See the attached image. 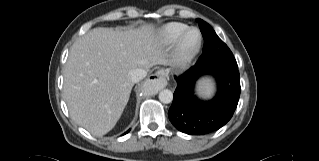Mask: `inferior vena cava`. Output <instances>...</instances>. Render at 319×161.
<instances>
[{"mask_svg": "<svg viewBox=\"0 0 319 161\" xmlns=\"http://www.w3.org/2000/svg\"><path fill=\"white\" fill-rule=\"evenodd\" d=\"M129 78L133 83H137L146 76V71L144 69H133L129 72Z\"/></svg>", "mask_w": 319, "mask_h": 161, "instance_id": "1", "label": "inferior vena cava"}]
</instances>
